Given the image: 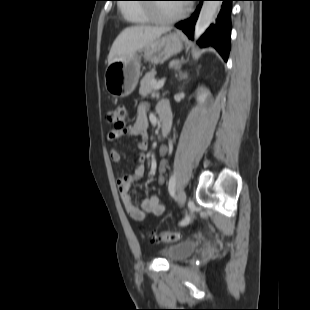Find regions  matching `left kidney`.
Here are the masks:
<instances>
[{
  "mask_svg": "<svg viewBox=\"0 0 310 310\" xmlns=\"http://www.w3.org/2000/svg\"><path fill=\"white\" fill-rule=\"evenodd\" d=\"M208 95V91L207 90H205V89H203V88H201L200 90H199V92H198V96H197V98H198V100H202L205 96H207Z\"/></svg>",
  "mask_w": 310,
  "mask_h": 310,
  "instance_id": "5707ae66",
  "label": "left kidney"
}]
</instances>
